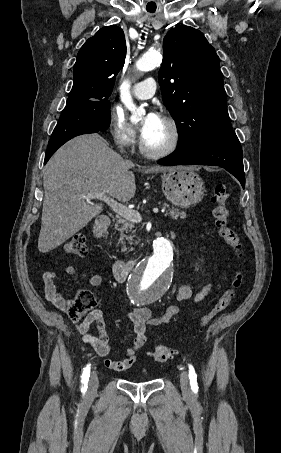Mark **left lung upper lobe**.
I'll return each mask as SVG.
<instances>
[{"label":"left lung upper lobe","instance_id":"1","mask_svg":"<svg viewBox=\"0 0 281 453\" xmlns=\"http://www.w3.org/2000/svg\"><path fill=\"white\" fill-rule=\"evenodd\" d=\"M163 53L159 84L178 127L177 148L232 133L219 58L203 33L175 27L163 40Z\"/></svg>","mask_w":281,"mask_h":453}]
</instances>
